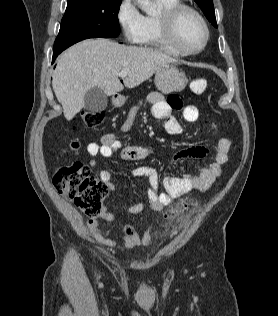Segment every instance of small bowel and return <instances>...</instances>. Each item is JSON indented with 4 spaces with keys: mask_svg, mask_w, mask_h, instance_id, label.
<instances>
[{
    "mask_svg": "<svg viewBox=\"0 0 278 316\" xmlns=\"http://www.w3.org/2000/svg\"><path fill=\"white\" fill-rule=\"evenodd\" d=\"M148 102L152 105V115L164 122L165 130L171 135H181L183 127L180 122L172 115L173 110H182L183 117L188 122H195L199 119V110L195 105H182V101L172 96L169 99L159 93H151ZM139 105L133 106L128 114L125 123L122 126V131H128L136 117ZM231 149V140L226 137L219 139L213 162L202 168L197 175L183 176H168L161 182L158 172L150 166H137L131 172L136 177H145L148 180V199L149 206L156 212H161L171 202L192 190L205 191L208 190L216 178L222 173V166L228 161L229 152ZM87 153L92 157L89 161V166L94 168L97 166L96 157L102 156L105 158L112 157L118 153L120 158L125 161H140L146 159L150 152L149 149L139 145H123L114 134L108 133L101 137L100 143L90 142L86 146ZM209 154V150L202 146H192L178 151L173 157L172 167L185 158L196 157L202 158ZM100 178L108 188H112L113 182L111 174L107 170L100 172ZM164 187V192H159L160 185ZM128 212L137 214L145 209V203L138 202L126 208ZM102 219L106 222L114 220V214L109 210H104ZM89 230L92 236L102 245L108 247H120L121 249L129 250L138 246L148 245L151 241L150 231H146L140 235L132 224L123 226L120 235H115L110 231L103 229L97 221L88 222Z\"/></svg>",
    "mask_w": 278,
    "mask_h": 316,
    "instance_id": "small-bowel-1",
    "label": "small bowel"
}]
</instances>
